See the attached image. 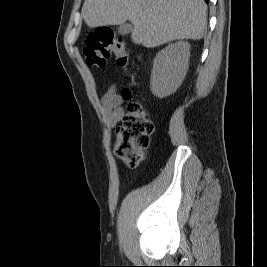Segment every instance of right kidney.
<instances>
[{
    "label": "right kidney",
    "mask_w": 267,
    "mask_h": 267,
    "mask_svg": "<svg viewBox=\"0 0 267 267\" xmlns=\"http://www.w3.org/2000/svg\"><path fill=\"white\" fill-rule=\"evenodd\" d=\"M189 57L190 44L183 41L169 44L158 52L150 80L154 96L164 98L179 88L188 70Z\"/></svg>",
    "instance_id": "obj_1"
}]
</instances>
